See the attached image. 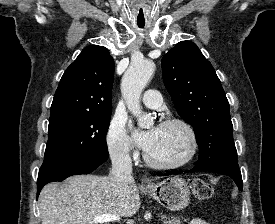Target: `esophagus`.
Masks as SVG:
<instances>
[{"mask_svg": "<svg viewBox=\"0 0 275 224\" xmlns=\"http://www.w3.org/2000/svg\"><path fill=\"white\" fill-rule=\"evenodd\" d=\"M142 184H143L144 186H148V185L150 184L149 180H148L145 176L142 177Z\"/></svg>", "mask_w": 275, "mask_h": 224, "instance_id": "obj_1", "label": "esophagus"}]
</instances>
